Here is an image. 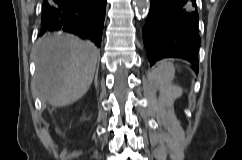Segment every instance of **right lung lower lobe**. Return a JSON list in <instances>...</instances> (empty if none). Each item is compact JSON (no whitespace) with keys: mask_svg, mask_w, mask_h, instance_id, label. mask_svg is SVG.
<instances>
[{"mask_svg":"<svg viewBox=\"0 0 242 160\" xmlns=\"http://www.w3.org/2000/svg\"><path fill=\"white\" fill-rule=\"evenodd\" d=\"M106 0H44L40 35L64 31L101 45Z\"/></svg>","mask_w":242,"mask_h":160,"instance_id":"1","label":"right lung lower lobe"}]
</instances>
